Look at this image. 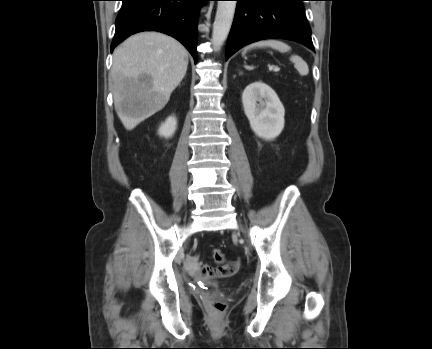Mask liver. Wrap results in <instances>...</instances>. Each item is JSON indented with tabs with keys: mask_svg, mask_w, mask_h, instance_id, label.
Wrapping results in <instances>:
<instances>
[{
	"mask_svg": "<svg viewBox=\"0 0 432 349\" xmlns=\"http://www.w3.org/2000/svg\"><path fill=\"white\" fill-rule=\"evenodd\" d=\"M187 57L181 43L158 32L132 35L114 50V105L127 130L164 108L186 75ZM142 76L147 80H141ZM124 102H130L131 111L123 110Z\"/></svg>",
	"mask_w": 432,
	"mask_h": 349,
	"instance_id": "6515ba94",
	"label": "liver"
}]
</instances>
